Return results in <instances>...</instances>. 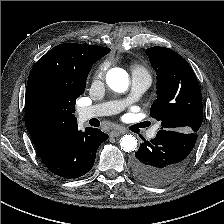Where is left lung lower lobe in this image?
<instances>
[{"label": "left lung lower lobe", "mask_w": 224, "mask_h": 224, "mask_svg": "<svg viewBox=\"0 0 224 224\" xmlns=\"http://www.w3.org/2000/svg\"><path fill=\"white\" fill-rule=\"evenodd\" d=\"M197 133L162 129L156 137L140 145L132 161L135 175L150 185H165L186 168Z\"/></svg>", "instance_id": "left-lung-lower-lobe-1"}]
</instances>
